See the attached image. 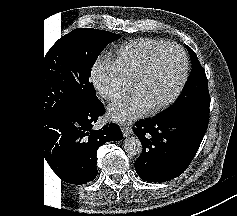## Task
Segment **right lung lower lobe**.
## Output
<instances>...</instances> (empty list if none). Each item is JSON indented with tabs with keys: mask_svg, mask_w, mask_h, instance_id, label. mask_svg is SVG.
I'll return each instance as SVG.
<instances>
[{
	"mask_svg": "<svg viewBox=\"0 0 237 216\" xmlns=\"http://www.w3.org/2000/svg\"><path fill=\"white\" fill-rule=\"evenodd\" d=\"M104 106L99 99L61 109L57 126L56 144L59 164L56 174L65 182L82 185L97 176L96 152L107 141L123 139L120 128L111 123L99 130L93 129ZM56 167V166H55Z\"/></svg>",
	"mask_w": 237,
	"mask_h": 216,
	"instance_id": "98d812e1",
	"label": "right lung lower lobe"
}]
</instances>
